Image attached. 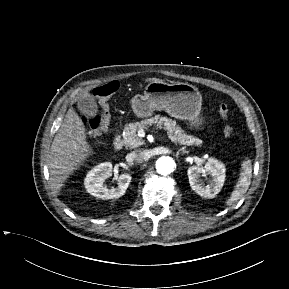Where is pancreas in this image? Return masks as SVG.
Returning <instances> with one entry per match:
<instances>
[{"instance_id": "pancreas-1", "label": "pancreas", "mask_w": 289, "mask_h": 289, "mask_svg": "<svg viewBox=\"0 0 289 289\" xmlns=\"http://www.w3.org/2000/svg\"><path fill=\"white\" fill-rule=\"evenodd\" d=\"M156 124L158 128H163L167 131L169 139L175 144L192 146H199L202 140L195 138L191 135H187L184 130L181 129L176 122L170 118L162 117L160 115H155L149 119H144L140 122L130 123L125 126L123 134V143L126 147L130 149L139 147L144 144L143 140L138 137L137 131L141 129H146L148 126Z\"/></svg>"}]
</instances>
